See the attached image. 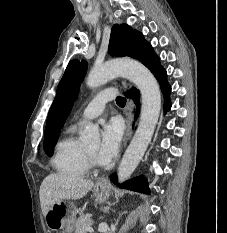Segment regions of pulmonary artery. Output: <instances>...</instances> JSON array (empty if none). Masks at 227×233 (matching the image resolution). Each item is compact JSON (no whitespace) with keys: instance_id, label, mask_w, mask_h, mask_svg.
<instances>
[{"instance_id":"pulmonary-artery-1","label":"pulmonary artery","mask_w":227,"mask_h":233,"mask_svg":"<svg viewBox=\"0 0 227 233\" xmlns=\"http://www.w3.org/2000/svg\"><path fill=\"white\" fill-rule=\"evenodd\" d=\"M115 97L114 89H105L99 92L83 110L78 124H82L85 121L92 120L100 116L107 102L113 100Z\"/></svg>"}]
</instances>
